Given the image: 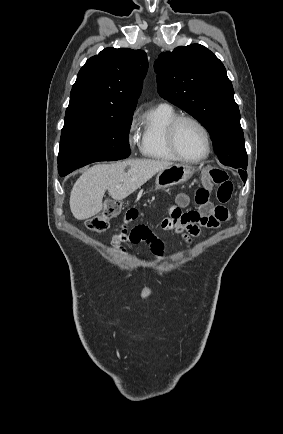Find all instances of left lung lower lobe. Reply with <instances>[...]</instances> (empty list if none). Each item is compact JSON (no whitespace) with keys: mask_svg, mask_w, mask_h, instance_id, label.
Returning <instances> with one entry per match:
<instances>
[{"mask_svg":"<svg viewBox=\"0 0 283 434\" xmlns=\"http://www.w3.org/2000/svg\"><path fill=\"white\" fill-rule=\"evenodd\" d=\"M243 169H246V167L243 166V167L239 168V173L241 175L242 180L245 182L247 179V172L244 171Z\"/></svg>","mask_w":283,"mask_h":434,"instance_id":"obj_1","label":"left lung lower lobe"}]
</instances>
